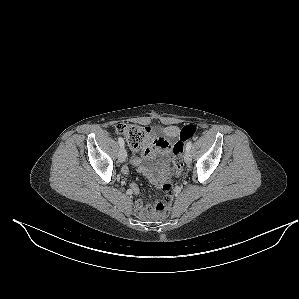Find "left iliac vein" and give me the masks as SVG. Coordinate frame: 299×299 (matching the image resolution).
Listing matches in <instances>:
<instances>
[{"mask_svg":"<svg viewBox=\"0 0 299 299\" xmlns=\"http://www.w3.org/2000/svg\"><path fill=\"white\" fill-rule=\"evenodd\" d=\"M184 161L187 163V164H190L191 161H192V157H191V154L189 151H185V154H184Z\"/></svg>","mask_w":299,"mask_h":299,"instance_id":"4c4485c4","label":"left iliac vein"}]
</instances>
